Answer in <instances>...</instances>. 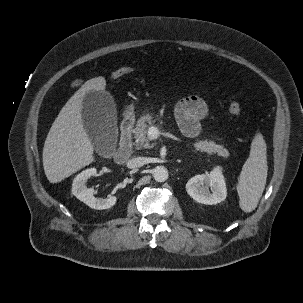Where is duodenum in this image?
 Segmentation results:
<instances>
[{
  "label": "duodenum",
  "instance_id": "obj_1",
  "mask_svg": "<svg viewBox=\"0 0 303 303\" xmlns=\"http://www.w3.org/2000/svg\"><path fill=\"white\" fill-rule=\"evenodd\" d=\"M134 122L131 118H126L121 124V134L119 147L115 153L114 159L117 163L126 162L132 153V129Z\"/></svg>",
  "mask_w": 303,
  "mask_h": 303
}]
</instances>
